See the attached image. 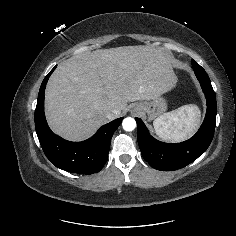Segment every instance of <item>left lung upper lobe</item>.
Masks as SVG:
<instances>
[{
	"instance_id": "5c2ea615",
	"label": "left lung upper lobe",
	"mask_w": 236,
	"mask_h": 236,
	"mask_svg": "<svg viewBox=\"0 0 236 236\" xmlns=\"http://www.w3.org/2000/svg\"><path fill=\"white\" fill-rule=\"evenodd\" d=\"M192 67L194 71H205L198 63L192 60Z\"/></svg>"
}]
</instances>
